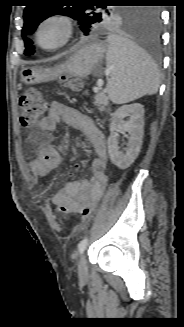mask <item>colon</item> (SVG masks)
<instances>
[{
    "instance_id": "5ec220e1",
    "label": "colon",
    "mask_w": 184,
    "mask_h": 327,
    "mask_svg": "<svg viewBox=\"0 0 184 327\" xmlns=\"http://www.w3.org/2000/svg\"><path fill=\"white\" fill-rule=\"evenodd\" d=\"M63 84L72 91H79L82 89V82L78 79L64 77L62 79ZM20 108V122L22 126L29 127L35 124L47 108V102L43 95L36 89L31 88L26 90L19 99ZM57 211L61 213H70L69 208L64 204L55 205ZM96 210L95 204L83 205L78 214L81 217H89Z\"/></svg>"
}]
</instances>
